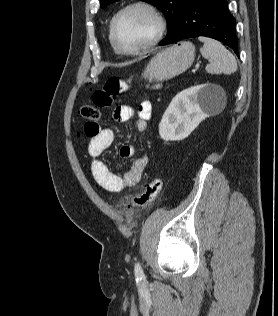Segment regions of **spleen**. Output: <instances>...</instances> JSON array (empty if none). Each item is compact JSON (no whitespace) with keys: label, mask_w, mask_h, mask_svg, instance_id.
<instances>
[{"label":"spleen","mask_w":278,"mask_h":316,"mask_svg":"<svg viewBox=\"0 0 278 316\" xmlns=\"http://www.w3.org/2000/svg\"><path fill=\"white\" fill-rule=\"evenodd\" d=\"M199 40L204 43L203 47L200 48L202 56L212 60L206 66L208 73L232 74L237 70V62L234 55L220 42L208 37H199Z\"/></svg>","instance_id":"spleen-1"}]
</instances>
